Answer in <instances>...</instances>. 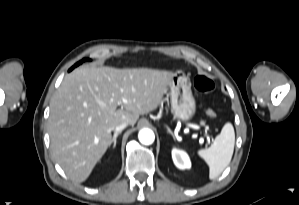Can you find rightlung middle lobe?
<instances>
[{
    "instance_id": "1",
    "label": "right lung middle lobe",
    "mask_w": 299,
    "mask_h": 205,
    "mask_svg": "<svg viewBox=\"0 0 299 205\" xmlns=\"http://www.w3.org/2000/svg\"><path fill=\"white\" fill-rule=\"evenodd\" d=\"M83 61H85V59H83L82 61H79L78 63H76V64L72 67V69L75 68L76 66L80 65Z\"/></svg>"
}]
</instances>
